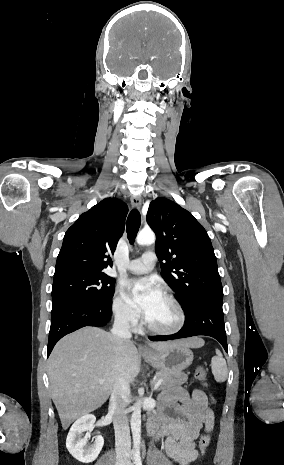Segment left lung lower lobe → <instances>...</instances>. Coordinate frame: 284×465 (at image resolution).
<instances>
[{"label":"left lung lower lobe","instance_id":"0a47b994","mask_svg":"<svg viewBox=\"0 0 284 465\" xmlns=\"http://www.w3.org/2000/svg\"><path fill=\"white\" fill-rule=\"evenodd\" d=\"M185 323L182 329L170 336H157L152 341H166L197 335L211 336L218 340L228 352L222 301L198 299L184 307Z\"/></svg>","mask_w":284,"mask_h":465}]
</instances>
